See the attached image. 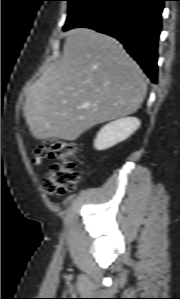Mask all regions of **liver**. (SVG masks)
I'll return each instance as SVG.
<instances>
[{
    "label": "liver",
    "instance_id": "obj_1",
    "mask_svg": "<svg viewBox=\"0 0 180 299\" xmlns=\"http://www.w3.org/2000/svg\"><path fill=\"white\" fill-rule=\"evenodd\" d=\"M147 84L114 38L91 29L67 33L62 57L26 92L24 116L38 140H76L91 127L136 112Z\"/></svg>",
    "mask_w": 180,
    "mask_h": 299
}]
</instances>
